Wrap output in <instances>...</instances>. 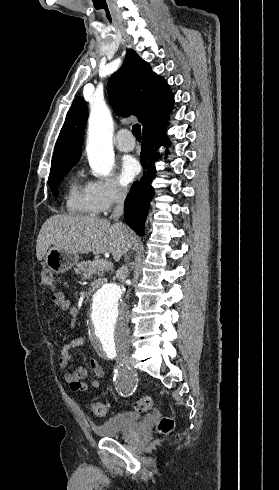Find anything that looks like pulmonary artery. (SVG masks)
Listing matches in <instances>:
<instances>
[{"label": "pulmonary artery", "instance_id": "1", "mask_svg": "<svg viewBox=\"0 0 279 490\" xmlns=\"http://www.w3.org/2000/svg\"><path fill=\"white\" fill-rule=\"evenodd\" d=\"M115 146L122 152H130L136 146V137H129V128H118L116 131Z\"/></svg>", "mask_w": 279, "mask_h": 490}]
</instances>
